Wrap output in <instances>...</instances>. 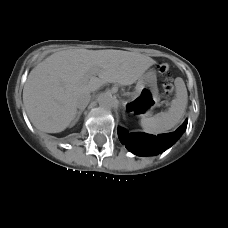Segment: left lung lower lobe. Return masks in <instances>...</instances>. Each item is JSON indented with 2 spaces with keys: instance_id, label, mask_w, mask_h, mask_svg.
<instances>
[{
  "instance_id": "1",
  "label": "left lung lower lobe",
  "mask_w": 228,
  "mask_h": 228,
  "mask_svg": "<svg viewBox=\"0 0 228 228\" xmlns=\"http://www.w3.org/2000/svg\"><path fill=\"white\" fill-rule=\"evenodd\" d=\"M188 120L175 131L158 136L145 135L143 133H128L118 128L120 141L128 150L137 155H155L164 152L183 134L187 128Z\"/></svg>"
}]
</instances>
